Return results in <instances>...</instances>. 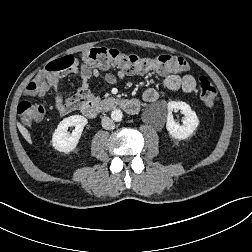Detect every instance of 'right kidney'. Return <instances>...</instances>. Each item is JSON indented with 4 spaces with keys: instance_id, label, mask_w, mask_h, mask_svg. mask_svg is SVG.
<instances>
[{
    "instance_id": "right-kidney-1",
    "label": "right kidney",
    "mask_w": 252,
    "mask_h": 252,
    "mask_svg": "<svg viewBox=\"0 0 252 252\" xmlns=\"http://www.w3.org/2000/svg\"><path fill=\"white\" fill-rule=\"evenodd\" d=\"M87 123V119L82 115H72L63 119L52 135L53 147L64 153L73 151L76 148L82 131ZM70 126L75 127L71 134L68 132V127Z\"/></svg>"
}]
</instances>
